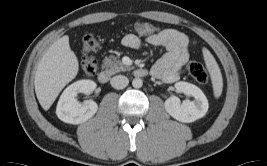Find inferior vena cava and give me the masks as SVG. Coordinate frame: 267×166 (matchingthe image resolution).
Returning a JSON list of instances; mask_svg holds the SVG:
<instances>
[{"label": "inferior vena cava", "mask_w": 267, "mask_h": 166, "mask_svg": "<svg viewBox=\"0 0 267 166\" xmlns=\"http://www.w3.org/2000/svg\"><path fill=\"white\" fill-rule=\"evenodd\" d=\"M110 82L113 88L123 89L128 85L129 80L124 75H117V76H114Z\"/></svg>", "instance_id": "1"}]
</instances>
